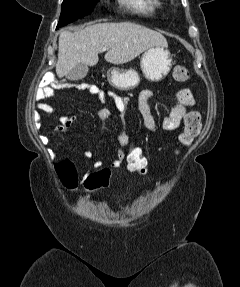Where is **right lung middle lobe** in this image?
Here are the masks:
<instances>
[{
	"label": "right lung middle lobe",
	"instance_id": "dd1d6c3e",
	"mask_svg": "<svg viewBox=\"0 0 240 287\" xmlns=\"http://www.w3.org/2000/svg\"><path fill=\"white\" fill-rule=\"evenodd\" d=\"M100 0H64L57 29L90 14Z\"/></svg>",
	"mask_w": 240,
	"mask_h": 287
}]
</instances>
